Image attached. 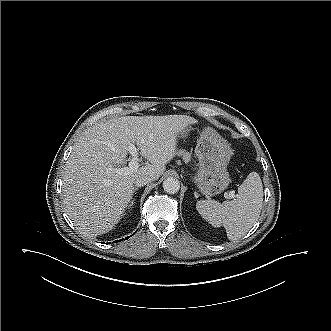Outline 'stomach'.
<instances>
[{
	"mask_svg": "<svg viewBox=\"0 0 331 331\" xmlns=\"http://www.w3.org/2000/svg\"><path fill=\"white\" fill-rule=\"evenodd\" d=\"M183 132L181 135L185 134ZM196 155L199 159V170L195 181L200 192L209 196L223 192L230 183L227 165L232 150L228 142L215 131L206 130L198 140Z\"/></svg>",
	"mask_w": 331,
	"mask_h": 331,
	"instance_id": "obj_1",
	"label": "stomach"
}]
</instances>
